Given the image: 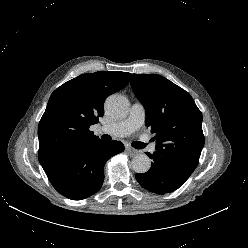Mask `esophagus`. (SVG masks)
Segmentation results:
<instances>
[{"label":"esophagus","instance_id":"1","mask_svg":"<svg viewBox=\"0 0 248 248\" xmlns=\"http://www.w3.org/2000/svg\"><path fill=\"white\" fill-rule=\"evenodd\" d=\"M126 150H127V153H128L130 156L136 155V154L138 153V150H136V149H134V148H131V147H127Z\"/></svg>","mask_w":248,"mask_h":248}]
</instances>
